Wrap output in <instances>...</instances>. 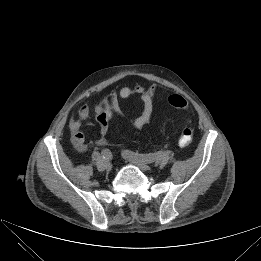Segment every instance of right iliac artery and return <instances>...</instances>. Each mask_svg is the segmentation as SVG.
Masks as SVG:
<instances>
[{
	"label": "right iliac artery",
	"mask_w": 261,
	"mask_h": 261,
	"mask_svg": "<svg viewBox=\"0 0 261 261\" xmlns=\"http://www.w3.org/2000/svg\"><path fill=\"white\" fill-rule=\"evenodd\" d=\"M101 156L103 159L109 160L112 158V153L109 149H103L101 152Z\"/></svg>",
	"instance_id": "82829eb1"
}]
</instances>
